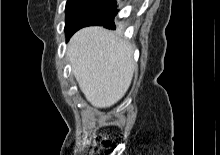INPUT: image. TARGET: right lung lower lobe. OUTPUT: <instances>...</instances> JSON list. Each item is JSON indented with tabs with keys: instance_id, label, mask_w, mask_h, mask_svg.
Wrapping results in <instances>:
<instances>
[{
	"instance_id": "98d812e1",
	"label": "right lung lower lobe",
	"mask_w": 220,
	"mask_h": 155,
	"mask_svg": "<svg viewBox=\"0 0 220 155\" xmlns=\"http://www.w3.org/2000/svg\"><path fill=\"white\" fill-rule=\"evenodd\" d=\"M117 12L118 11L116 10V8H114V9H112V10L96 17L95 19H93L92 21H90L89 23L84 25L83 27L99 25V26H104L105 28H108V29H116V26H115V23H114V17L117 15Z\"/></svg>"
}]
</instances>
